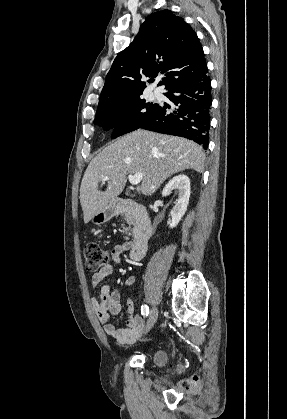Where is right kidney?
<instances>
[{
	"label": "right kidney",
	"instance_id": "obj_1",
	"mask_svg": "<svg viewBox=\"0 0 287 419\" xmlns=\"http://www.w3.org/2000/svg\"><path fill=\"white\" fill-rule=\"evenodd\" d=\"M173 190L177 191L178 199L176 200L175 206L170 212L172 217L170 228H174L178 225L179 221L187 210L190 197L189 178L184 174L173 177L164 187L162 196L169 195Z\"/></svg>",
	"mask_w": 287,
	"mask_h": 419
}]
</instances>
